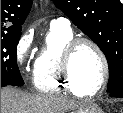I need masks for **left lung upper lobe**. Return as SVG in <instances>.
I'll list each match as a JSON object with an SVG mask.
<instances>
[{
    "label": "left lung upper lobe",
    "mask_w": 123,
    "mask_h": 113,
    "mask_svg": "<svg viewBox=\"0 0 123 113\" xmlns=\"http://www.w3.org/2000/svg\"><path fill=\"white\" fill-rule=\"evenodd\" d=\"M105 54L107 92L123 98V5L119 0H52Z\"/></svg>",
    "instance_id": "1"
}]
</instances>
